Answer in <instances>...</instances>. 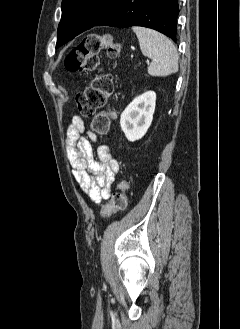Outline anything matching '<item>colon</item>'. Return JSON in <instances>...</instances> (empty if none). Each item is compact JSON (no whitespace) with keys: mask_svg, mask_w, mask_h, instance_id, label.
Returning <instances> with one entry per match:
<instances>
[{"mask_svg":"<svg viewBox=\"0 0 240 329\" xmlns=\"http://www.w3.org/2000/svg\"><path fill=\"white\" fill-rule=\"evenodd\" d=\"M107 49L109 54L117 55L119 46L111 43L105 35L87 34L66 56L64 64L68 71L82 73L93 72L95 75L88 86L76 96L78 112L84 117L94 115L98 110L107 106L108 97L113 92V82L109 75L101 73L98 54ZM115 116L113 109L108 108L94 115L91 128L94 133L103 135L107 133L110 123ZM129 182L122 180L112 193L109 202L101 210L102 217H109L114 213L123 211L127 207V192Z\"/></svg>","mask_w":240,"mask_h":329,"instance_id":"colon-1","label":"colon"}]
</instances>
